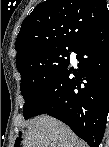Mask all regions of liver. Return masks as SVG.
<instances>
[{"label":"liver","mask_w":109,"mask_h":147,"mask_svg":"<svg viewBox=\"0 0 109 147\" xmlns=\"http://www.w3.org/2000/svg\"><path fill=\"white\" fill-rule=\"evenodd\" d=\"M27 127L25 147H86L68 126L51 116H38Z\"/></svg>","instance_id":"obj_1"}]
</instances>
